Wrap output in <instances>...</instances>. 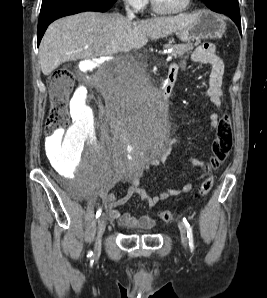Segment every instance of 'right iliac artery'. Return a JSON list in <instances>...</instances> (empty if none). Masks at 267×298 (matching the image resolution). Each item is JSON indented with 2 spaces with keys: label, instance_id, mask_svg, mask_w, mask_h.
<instances>
[{
  "label": "right iliac artery",
  "instance_id": "right-iliac-artery-1",
  "mask_svg": "<svg viewBox=\"0 0 267 298\" xmlns=\"http://www.w3.org/2000/svg\"><path fill=\"white\" fill-rule=\"evenodd\" d=\"M101 212H102V209L99 208V209L97 210V212H96V218H98V217L100 216ZM92 255H93V252L90 250V251L88 252L87 257L91 259V258H92Z\"/></svg>",
  "mask_w": 267,
  "mask_h": 298
}]
</instances>
